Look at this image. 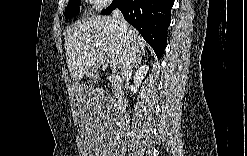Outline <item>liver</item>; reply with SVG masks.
<instances>
[{
    "label": "liver",
    "mask_w": 247,
    "mask_h": 156,
    "mask_svg": "<svg viewBox=\"0 0 247 156\" xmlns=\"http://www.w3.org/2000/svg\"><path fill=\"white\" fill-rule=\"evenodd\" d=\"M64 40L68 69L75 82L101 67L106 59L120 67L128 41L138 55L145 53L146 46L136 29L129 26L125 35L113 17L100 15L68 27Z\"/></svg>",
    "instance_id": "6515ba94"
}]
</instances>
